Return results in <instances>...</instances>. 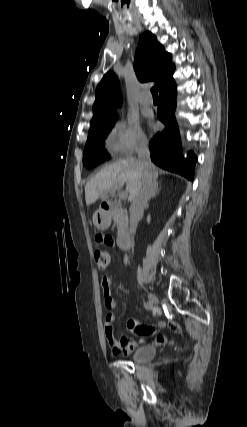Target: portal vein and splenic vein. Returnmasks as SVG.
Segmentation results:
<instances>
[{
	"label": "portal vein and splenic vein",
	"mask_w": 247,
	"mask_h": 427,
	"mask_svg": "<svg viewBox=\"0 0 247 427\" xmlns=\"http://www.w3.org/2000/svg\"><path fill=\"white\" fill-rule=\"evenodd\" d=\"M127 197V193L126 192H122V193H120V195H119V198L120 199H124V198H126Z\"/></svg>",
	"instance_id": "18ae733b"
}]
</instances>
